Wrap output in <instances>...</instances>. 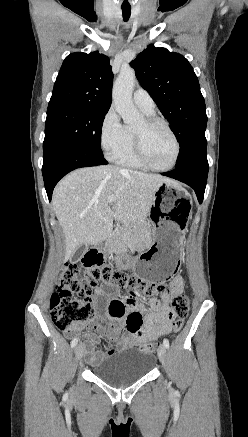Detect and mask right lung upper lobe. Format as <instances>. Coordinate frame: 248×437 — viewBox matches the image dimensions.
<instances>
[{
	"label": "right lung upper lobe",
	"instance_id": "cb5924a9",
	"mask_svg": "<svg viewBox=\"0 0 248 437\" xmlns=\"http://www.w3.org/2000/svg\"><path fill=\"white\" fill-rule=\"evenodd\" d=\"M112 80L107 56L97 51L72 53L63 61L49 103L65 102L108 111Z\"/></svg>",
	"mask_w": 248,
	"mask_h": 437
}]
</instances>
